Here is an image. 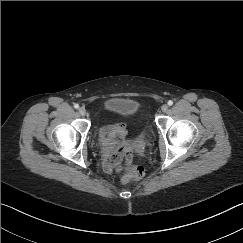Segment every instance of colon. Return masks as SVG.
I'll use <instances>...</instances> for the list:
<instances>
[{
    "label": "colon",
    "mask_w": 243,
    "mask_h": 243,
    "mask_svg": "<svg viewBox=\"0 0 243 243\" xmlns=\"http://www.w3.org/2000/svg\"><path fill=\"white\" fill-rule=\"evenodd\" d=\"M125 156V154H123ZM124 170L123 182H129L132 180H139L144 177V169L138 166L131 165L127 159L122 163Z\"/></svg>",
    "instance_id": "obj_1"
}]
</instances>
